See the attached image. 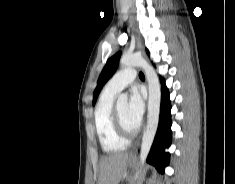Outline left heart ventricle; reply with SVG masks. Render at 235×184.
<instances>
[{
  "label": "left heart ventricle",
  "mask_w": 235,
  "mask_h": 184,
  "mask_svg": "<svg viewBox=\"0 0 235 184\" xmlns=\"http://www.w3.org/2000/svg\"><path fill=\"white\" fill-rule=\"evenodd\" d=\"M117 111L119 113L121 122L123 126L129 131V132H134L137 127L129 120L128 117V104H122L118 106Z\"/></svg>",
  "instance_id": "left-heart-ventricle-1"
}]
</instances>
